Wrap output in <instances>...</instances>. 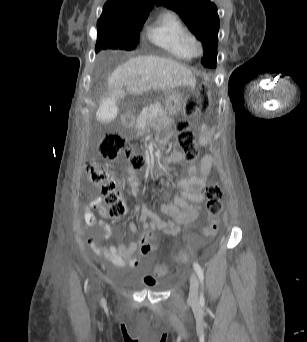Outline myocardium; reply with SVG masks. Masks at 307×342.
I'll list each match as a JSON object with an SVG mask.
<instances>
[{
  "label": "myocardium",
  "instance_id": "f54148a6",
  "mask_svg": "<svg viewBox=\"0 0 307 342\" xmlns=\"http://www.w3.org/2000/svg\"><path fill=\"white\" fill-rule=\"evenodd\" d=\"M188 50L192 56H199L204 51V43L199 35L192 32L187 40Z\"/></svg>",
  "mask_w": 307,
  "mask_h": 342
}]
</instances>
